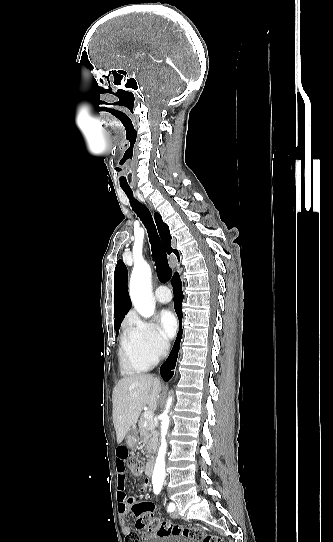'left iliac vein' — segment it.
<instances>
[{
	"instance_id": "obj_1",
	"label": "left iliac vein",
	"mask_w": 333,
	"mask_h": 542,
	"mask_svg": "<svg viewBox=\"0 0 333 542\" xmlns=\"http://www.w3.org/2000/svg\"><path fill=\"white\" fill-rule=\"evenodd\" d=\"M172 516H173V517H177V516H178V512H174Z\"/></svg>"
}]
</instances>
